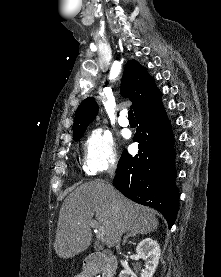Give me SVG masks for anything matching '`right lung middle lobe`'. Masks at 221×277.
<instances>
[{"mask_svg": "<svg viewBox=\"0 0 221 277\" xmlns=\"http://www.w3.org/2000/svg\"><path fill=\"white\" fill-rule=\"evenodd\" d=\"M84 131H85V130L73 134V139L76 140V141H79L80 138L82 137V134L84 133Z\"/></svg>", "mask_w": 221, "mask_h": 277, "instance_id": "obj_1", "label": "right lung middle lobe"}]
</instances>
